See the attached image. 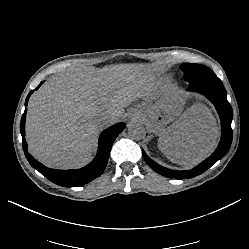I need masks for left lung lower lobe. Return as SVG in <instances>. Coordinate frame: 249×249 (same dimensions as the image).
I'll list each match as a JSON object with an SVG mask.
<instances>
[{"instance_id": "left-lung-lower-lobe-1", "label": "left lung lower lobe", "mask_w": 249, "mask_h": 249, "mask_svg": "<svg viewBox=\"0 0 249 249\" xmlns=\"http://www.w3.org/2000/svg\"><path fill=\"white\" fill-rule=\"evenodd\" d=\"M187 90L195 91L206 96L214 104L221 119V140L217 149L210 157L195 168L185 171H175L162 167L150 159L144 150H142V155L146 163L157 173L169 178L184 179L200 175L226 155L232 142L231 122L233 111L227 100L226 90L222 81H207L195 84L189 86Z\"/></svg>"}]
</instances>
